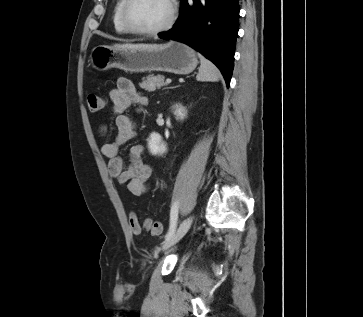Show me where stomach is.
Returning a JSON list of instances; mask_svg holds the SVG:
<instances>
[{"mask_svg": "<svg viewBox=\"0 0 363 317\" xmlns=\"http://www.w3.org/2000/svg\"><path fill=\"white\" fill-rule=\"evenodd\" d=\"M91 64L97 71L119 68L127 72L163 71L191 73L198 64L196 53L184 43L170 41L154 48L94 47Z\"/></svg>", "mask_w": 363, "mask_h": 317, "instance_id": "obj_1", "label": "stomach"}]
</instances>
